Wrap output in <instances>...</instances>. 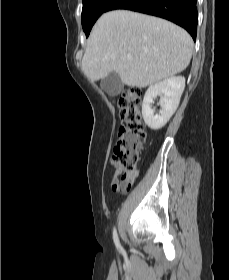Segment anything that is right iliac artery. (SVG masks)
I'll return each instance as SVG.
<instances>
[{"label": "right iliac artery", "instance_id": "1", "mask_svg": "<svg viewBox=\"0 0 229 280\" xmlns=\"http://www.w3.org/2000/svg\"><path fill=\"white\" fill-rule=\"evenodd\" d=\"M113 239H114V243H115L116 247L120 248V243H119L118 236H117V231H116L115 228L113 230Z\"/></svg>", "mask_w": 229, "mask_h": 280}]
</instances>
